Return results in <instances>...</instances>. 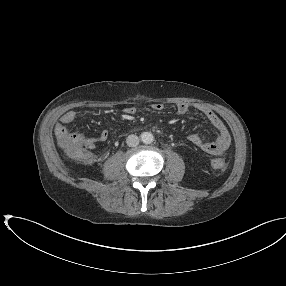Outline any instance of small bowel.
I'll return each mask as SVG.
<instances>
[{"label": "small bowel", "instance_id": "obj_1", "mask_svg": "<svg viewBox=\"0 0 286 286\" xmlns=\"http://www.w3.org/2000/svg\"><path fill=\"white\" fill-rule=\"evenodd\" d=\"M193 107L201 112L209 122L218 130V137L214 141H206L199 134H191L189 140L196 147L204 152L210 154L223 153L231 143V136L229 130L221 118L208 106L204 104H194ZM151 108L156 112L164 110L165 106L162 103H153ZM191 108V105L186 102H179L175 105V110L178 114H186ZM127 115H134L136 113L135 107H127L124 109ZM76 112L73 110L66 111L60 118V123L56 124L54 133L57 139H61L67 135L74 134L80 138L82 146L86 150H94L98 143L105 142L108 139V131L102 130L95 136H87L81 133H71L65 125L71 124L76 120Z\"/></svg>", "mask_w": 286, "mask_h": 286}]
</instances>
